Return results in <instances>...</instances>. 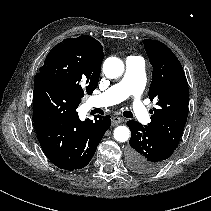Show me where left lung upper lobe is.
I'll list each match as a JSON object with an SVG mask.
<instances>
[{"instance_id": "1", "label": "left lung upper lobe", "mask_w": 211, "mask_h": 211, "mask_svg": "<svg viewBox=\"0 0 211 211\" xmlns=\"http://www.w3.org/2000/svg\"><path fill=\"white\" fill-rule=\"evenodd\" d=\"M145 51L153 67L148 96L157 100L150 110L152 132L177 148L187 121L189 88L182 65L162 42L144 40Z\"/></svg>"}]
</instances>
